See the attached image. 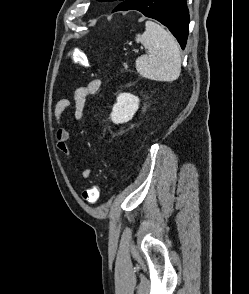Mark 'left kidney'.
<instances>
[{
    "instance_id": "1",
    "label": "left kidney",
    "mask_w": 249,
    "mask_h": 294,
    "mask_svg": "<svg viewBox=\"0 0 249 294\" xmlns=\"http://www.w3.org/2000/svg\"><path fill=\"white\" fill-rule=\"evenodd\" d=\"M139 108V98L130 93H121L113 105L111 120L115 124H123L131 120Z\"/></svg>"
}]
</instances>
